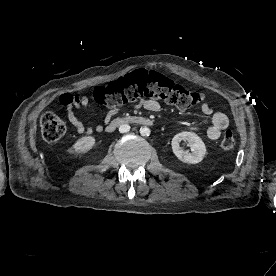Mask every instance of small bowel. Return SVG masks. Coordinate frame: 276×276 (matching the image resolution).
Instances as JSON below:
<instances>
[{
    "instance_id": "obj_1",
    "label": "small bowel",
    "mask_w": 276,
    "mask_h": 276,
    "mask_svg": "<svg viewBox=\"0 0 276 276\" xmlns=\"http://www.w3.org/2000/svg\"><path fill=\"white\" fill-rule=\"evenodd\" d=\"M59 101L60 104L65 107L68 121L76 129L78 134L90 135L93 132L102 131V125H86L77 116L78 110L84 109L89 105V99L87 96L80 93H66L60 97ZM137 107H143L148 111L156 112L160 109V104L154 99H143L139 102ZM118 111V108H114L109 111L107 116L111 117ZM202 112L211 117V125L207 129L208 138L211 140H217L222 131L229 126V119L227 115L220 111H214L208 104H204L202 106Z\"/></svg>"
}]
</instances>
